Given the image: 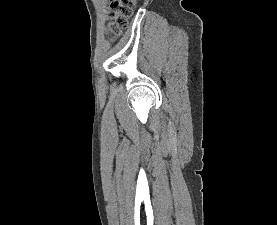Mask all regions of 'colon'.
Listing matches in <instances>:
<instances>
[{"mask_svg":"<svg viewBox=\"0 0 277 225\" xmlns=\"http://www.w3.org/2000/svg\"><path fill=\"white\" fill-rule=\"evenodd\" d=\"M136 0H114L111 5L109 31L118 35L134 12Z\"/></svg>","mask_w":277,"mask_h":225,"instance_id":"obj_1","label":"colon"}]
</instances>
